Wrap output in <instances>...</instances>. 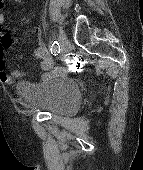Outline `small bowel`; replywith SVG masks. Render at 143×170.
<instances>
[{
  "instance_id": "obj_1",
  "label": "small bowel",
  "mask_w": 143,
  "mask_h": 170,
  "mask_svg": "<svg viewBox=\"0 0 143 170\" xmlns=\"http://www.w3.org/2000/svg\"><path fill=\"white\" fill-rule=\"evenodd\" d=\"M19 1V0H15ZM3 6V3L0 1V8ZM5 15L0 12V81L4 84H12L13 78H21L24 76V72L22 71H11L8 72L6 70V64L3 58L4 49L9 47L12 43L9 35L4 31L5 24ZM37 33H40V29H36ZM34 59L39 61L41 64V68L45 71H49L53 68V59L50 56L44 42L42 40H38L37 45L34 50ZM56 71L60 74L65 73L66 69H56Z\"/></svg>"
}]
</instances>
